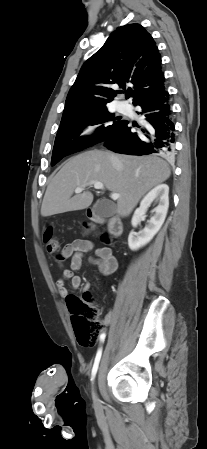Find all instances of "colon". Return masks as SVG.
I'll list each match as a JSON object with an SVG mask.
<instances>
[{"mask_svg":"<svg viewBox=\"0 0 207 449\" xmlns=\"http://www.w3.org/2000/svg\"><path fill=\"white\" fill-rule=\"evenodd\" d=\"M91 225H85L84 232L94 231ZM44 243L49 253H56L59 260L64 257L59 247V242L54 235L52 226L48 225L43 232ZM102 238L108 242L110 240L107 234ZM68 307L71 313V323L78 342L83 346H94L103 333L104 323L98 317V310L93 303V296L89 291H85L80 297L70 296L68 298Z\"/></svg>","mask_w":207,"mask_h":449,"instance_id":"colon-1","label":"colon"}]
</instances>
